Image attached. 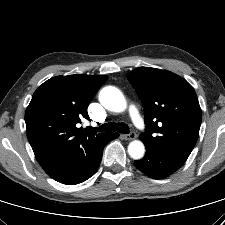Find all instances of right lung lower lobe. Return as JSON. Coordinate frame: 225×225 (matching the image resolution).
<instances>
[{
  "label": "right lung lower lobe",
  "instance_id": "1",
  "mask_svg": "<svg viewBox=\"0 0 225 225\" xmlns=\"http://www.w3.org/2000/svg\"><path fill=\"white\" fill-rule=\"evenodd\" d=\"M118 136V133H108L90 150L89 154L70 156L59 163L54 170L46 173L63 184L74 185L86 181L97 171L104 146Z\"/></svg>",
  "mask_w": 225,
  "mask_h": 225
}]
</instances>
